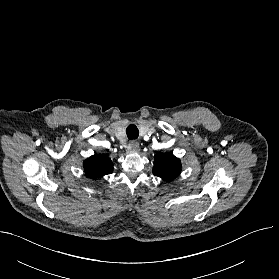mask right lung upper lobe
I'll use <instances>...</instances> for the list:
<instances>
[{
	"mask_svg": "<svg viewBox=\"0 0 279 279\" xmlns=\"http://www.w3.org/2000/svg\"><path fill=\"white\" fill-rule=\"evenodd\" d=\"M84 169L90 178L96 179L113 171L111 159L102 154H95L84 161Z\"/></svg>",
	"mask_w": 279,
	"mask_h": 279,
	"instance_id": "right-lung-upper-lobe-1",
	"label": "right lung upper lobe"
}]
</instances>
